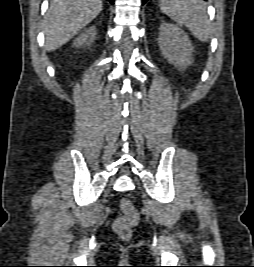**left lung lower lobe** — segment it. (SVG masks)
<instances>
[{
    "instance_id": "1",
    "label": "left lung lower lobe",
    "mask_w": 254,
    "mask_h": 267,
    "mask_svg": "<svg viewBox=\"0 0 254 267\" xmlns=\"http://www.w3.org/2000/svg\"><path fill=\"white\" fill-rule=\"evenodd\" d=\"M148 0H143L142 3L144 4L145 2H147Z\"/></svg>"
}]
</instances>
